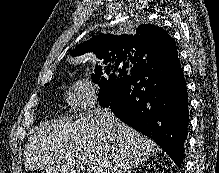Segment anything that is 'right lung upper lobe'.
<instances>
[{"label": "right lung upper lobe", "instance_id": "cb5924a9", "mask_svg": "<svg viewBox=\"0 0 219 173\" xmlns=\"http://www.w3.org/2000/svg\"><path fill=\"white\" fill-rule=\"evenodd\" d=\"M86 52L95 53L99 59L92 77L102 66L127 63L139 66L151 59L167 66L178 58L175 40L163 28L151 24L139 26L134 35H97L78 45L71 55L78 56Z\"/></svg>", "mask_w": 219, "mask_h": 173}]
</instances>
